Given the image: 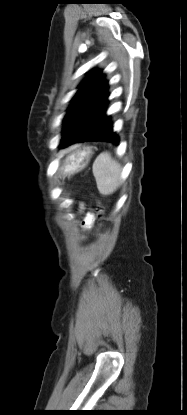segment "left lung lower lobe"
<instances>
[{
	"instance_id": "0a47b994",
	"label": "left lung lower lobe",
	"mask_w": 187,
	"mask_h": 415,
	"mask_svg": "<svg viewBox=\"0 0 187 415\" xmlns=\"http://www.w3.org/2000/svg\"><path fill=\"white\" fill-rule=\"evenodd\" d=\"M108 96V83L104 75H101L65 132L60 148L84 141H107L115 145L119 143V137L113 132L110 117L106 116Z\"/></svg>"
}]
</instances>
